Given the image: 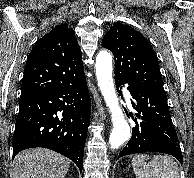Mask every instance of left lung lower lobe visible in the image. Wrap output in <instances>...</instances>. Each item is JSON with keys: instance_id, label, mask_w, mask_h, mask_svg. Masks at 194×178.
I'll return each instance as SVG.
<instances>
[{"instance_id": "1", "label": "left lung lower lobe", "mask_w": 194, "mask_h": 178, "mask_svg": "<svg viewBox=\"0 0 194 178\" xmlns=\"http://www.w3.org/2000/svg\"><path fill=\"white\" fill-rule=\"evenodd\" d=\"M117 87L126 84L115 79ZM128 90L137 111L132 137L119 157L143 152H160L183 162L176 130L171 121L165 91L151 90L129 84ZM121 92V91H120Z\"/></svg>"}]
</instances>
